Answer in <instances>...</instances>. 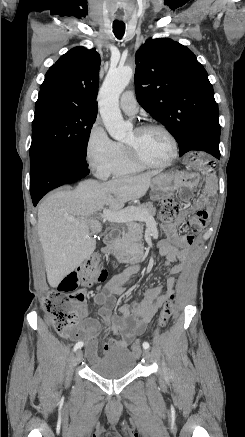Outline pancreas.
<instances>
[{
    "label": "pancreas",
    "instance_id": "pancreas-1",
    "mask_svg": "<svg viewBox=\"0 0 245 437\" xmlns=\"http://www.w3.org/2000/svg\"><path fill=\"white\" fill-rule=\"evenodd\" d=\"M131 208L136 210L137 216L121 225L122 230L118 231L119 235L112 243V246L119 250L141 246L143 238L142 223L145 222L147 217H153L156 212V209L150 202L137 207H130L128 209ZM136 221H138L140 224L136 223Z\"/></svg>",
    "mask_w": 245,
    "mask_h": 437
}]
</instances>
